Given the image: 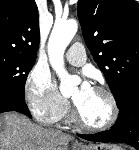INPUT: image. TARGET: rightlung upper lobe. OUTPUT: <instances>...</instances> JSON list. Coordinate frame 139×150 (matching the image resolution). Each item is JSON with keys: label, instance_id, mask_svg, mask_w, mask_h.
I'll use <instances>...</instances> for the list:
<instances>
[{"label": "right lung upper lobe", "instance_id": "obj_1", "mask_svg": "<svg viewBox=\"0 0 139 150\" xmlns=\"http://www.w3.org/2000/svg\"><path fill=\"white\" fill-rule=\"evenodd\" d=\"M40 42L34 0H0V51L36 58Z\"/></svg>", "mask_w": 139, "mask_h": 150}]
</instances>
